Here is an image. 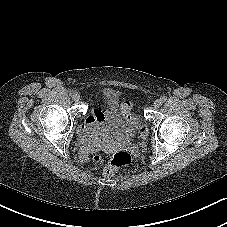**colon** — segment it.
I'll use <instances>...</instances> for the list:
<instances>
[{
  "label": "colon",
  "instance_id": "obj_1",
  "mask_svg": "<svg viewBox=\"0 0 227 227\" xmlns=\"http://www.w3.org/2000/svg\"><path fill=\"white\" fill-rule=\"evenodd\" d=\"M129 107V103L124 104L125 109H128ZM139 134L141 140L144 141L147 136V129L145 127H142L139 131ZM137 157L138 153L118 151L106 163H104L103 159L99 155H95L93 157V161L96 163L103 164L104 174L107 177H112L117 170L132 165L136 161Z\"/></svg>",
  "mask_w": 227,
  "mask_h": 227
}]
</instances>
